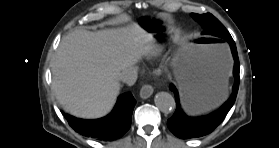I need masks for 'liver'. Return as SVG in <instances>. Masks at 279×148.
<instances>
[{
	"instance_id": "liver-1",
	"label": "liver",
	"mask_w": 279,
	"mask_h": 148,
	"mask_svg": "<svg viewBox=\"0 0 279 148\" xmlns=\"http://www.w3.org/2000/svg\"><path fill=\"white\" fill-rule=\"evenodd\" d=\"M152 34L138 25L64 36L51 65L52 88L63 108L81 118H99L113 107L118 75L152 49Z\"/></svg>"
}]
</instances>
